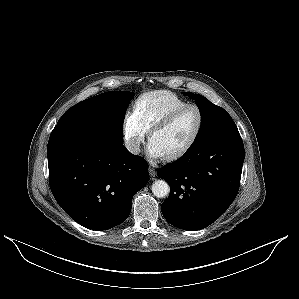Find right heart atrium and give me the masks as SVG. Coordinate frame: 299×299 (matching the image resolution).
Listing matches in <instances>:
<instances>
[{"instance_id":"right-heart-atrium-1","label":"right heart atrium","mask_w":299,"mask_h":299,"mask_svg":"<svg viewBox=\"0 0 299 299\" xmlns=\"http://www.w3.org/2000/svg\"><path fill=\"white\" fill-rule=\"evenodd\" d=\"M148 130L145 128L135 112L127 111L123 122V135L125 145L130 153L136 155L140 152Z\"/></svg>"}]
</instances>
